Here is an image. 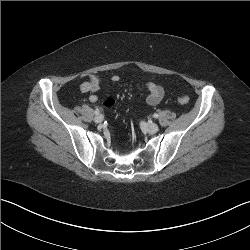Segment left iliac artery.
I'll use <instances>...</instances> for the list:
<instances>
[{"label":"left iliac artery","instance_id":"1","mask_svg":"<svg viewBox=\"0 0 250 250\" xmlns=\"http://www.w3.org/2000/svg\"><path fill=\"white\" fill-rule=\"evenodd\" d=\"M153 117H154V118H158L159 116H158V114L155 113V114L153 115Z\"/></svg>","mask_w":250,"mask_h":250}]
</instances>
